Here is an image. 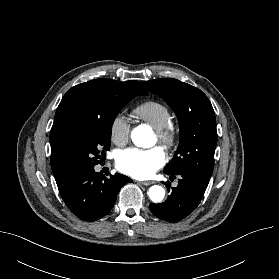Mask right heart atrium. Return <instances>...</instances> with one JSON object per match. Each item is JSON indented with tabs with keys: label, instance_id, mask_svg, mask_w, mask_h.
<instances>
[{
	"label": "right heart atrium",
	"instance_id": "d8ad5b80",
	"mask_svg": "<svg viewBox=\"0 0 279 279\" xmlns=\"http://www.w3.org/2000/svg\"><path fill=\"white\" fill-rule=\"evenodd\" d=\"M130 129L131 126L128 119L123 114L117 113L109 125L111 141L118 146L126 144L130 137Z\"/></svg>",
	"mask_w": 279,
	"mask_h": 279
}]
</instances>
